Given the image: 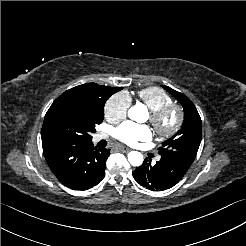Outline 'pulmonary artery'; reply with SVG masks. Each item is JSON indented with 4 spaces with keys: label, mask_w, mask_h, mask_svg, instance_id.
Returning a JSON list of instances; mask_svg holds the SVG:
<instances>
[{
    "label": "pulmonary artery",
    "mask_w": 246,
    "mask_h": 246,
    "mask_svg": "<svg viewBox=\"0 0 246 246\" xmlns=\"http://www.w3.org/2000/svg\"><path fill=\"white\" fill-rule=\"evenodd\" d=\"M105 137H106L105 134H99L98 137H97V139L100 140V139L105 138Z\"/></svg>",
    "instance_id": "obj_1"
}]
</instances>
